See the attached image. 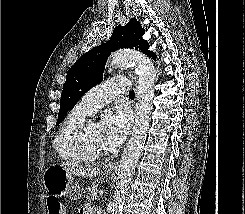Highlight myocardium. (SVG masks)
Returning a JSON list of instances; mask_svg holds the SVG:
<instances>
[{
	"label": "myocardium",
	"instance_id": "1",
	"mask_svg": "<svg viewBox=\"0 0 245 214\" xmlns=\"http://www.w3.org/2000/svg\"><path fill=\"white\" fill-rule=\"evenodd\" d=\"M93 123L91 120L83 121L74 131L71 144L74 152L84 161H95L103 158L105 153H92L85 144V134L87 127Z\"/></svg>",
	"mask_w": 245,
	"mask_h": 214
}]
</instances>
